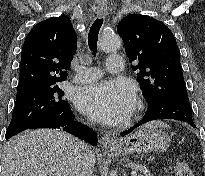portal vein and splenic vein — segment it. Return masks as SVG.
I'll list each match as a JSON object with an SVG mask.
<instances>
[{
	"label": "portal vein and splenic vein",
	"mask_w": 205,
	"mask_h": 176,
	"mask_svg": "<svg viewBox=\"0 0 205 176\" xmlns=\"http://www.w3.org/2000/svg\"><path fill=\"white\" fill-rule=\"evenodd\" d=\"M132 176H137V168L133 169Z\"/></svg>",
	"instance_id": "portal-vein-and-splenic-vein-1"
}]
</instances>
